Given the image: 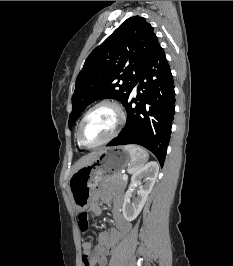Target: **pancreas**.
<instances>
[{"label": "pancreas", "mask_w": 233, "mask_h": 266, "mask_svg": "<svg viewBox=\"0 0 233 266\" xmlns=\"http://www.w3.org/2000/svg\"><path fill=\"white\" fill-rule=\"evenodd\" d=\"M106 181L110 182V183H115V184L120 185V186H125L126 185V180L122 179V174L121 173L109 175L106 178Z\"/></svg>", "instance_id": "cf45deb5"}]
</instances>
